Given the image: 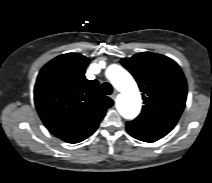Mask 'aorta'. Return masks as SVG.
<instances>
[{
  "mask_svg": "<svg viewBox=\"0 0 212 183\" xmlns=\"http://www.w3.org/2000/svg\"><path fill=\"white\" fill-rule=\"evenodd\" d=\"M107 78L121 92L117 109L126 119L135 118L141 109V96L133 77L120 65L111 64L106 70Z\"/></svg>",
  "mask_w": 212,
  "mask_h": 183,
  "instance_id": "obj_1",
  "label": "aorta"
}]
</instances>
